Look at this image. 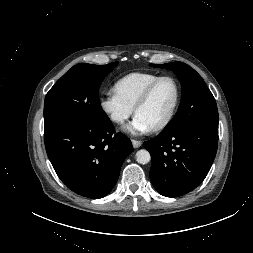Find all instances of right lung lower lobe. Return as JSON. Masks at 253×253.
<instances>
[{"mask_svg":"<svg viewBox=\"0 0 253 253\" xmlns=\"http://www.w3.org/2000/svg\"><path fill=\"white\" fill-rule=\"evenodd\" d=\"M47 155L61 181L78 195L99 199L110 193L131 141L115 134L109 118L66 122L45 129Z\"/></svg>","mask_w":253,"mask_h":253,"instance_id":"obj_1","label":"right lung lower lobe"}]
</instances>
